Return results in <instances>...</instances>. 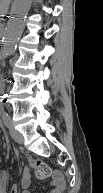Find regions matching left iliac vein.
<instances>
[{
    "label": "left iliac vein",
    "mask_w": 103,
    "mask_h": 193,
    "mask_svg": "<svg viewBox=\"0 0 103 193\" xmlns=\"http://www.w3.org/2000/svg\"><path fill=\"white\" fill-rule=\"evenodd\" d=\"M10 134L12 136V138L20 145L23 144L24 142V138L21 135V133H19L18 131H16L12 126H10Z\"/></svg>",
    "instance_id": "4c4485c4"
}]
</instances>
